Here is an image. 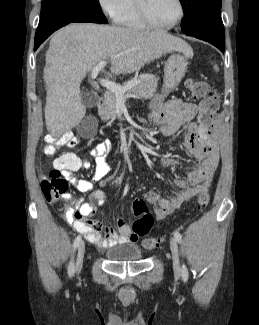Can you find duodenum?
<instances>
[{"instance_id": "410a0bca", "label": "duodenum", "mask_w": 259, "mask_h": 325, "mask_svg": "<svg viewBox=\"0 0 259 325\" xmlns=\"http://www.w3.org/2000/svg\"><path fill=\"white\" fill-rule=\"evenodd\" d=\"M104 106V100L103 98H99L97 101V107L102 108Z\"/></svg>"}]
</instances>
